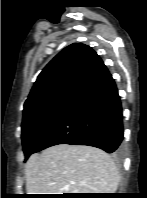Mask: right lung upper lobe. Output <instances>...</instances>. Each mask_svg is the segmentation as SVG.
<instances>
[{
	"instance_id": "right-lung-upper-lobe-1",
	"label": "right lung upper lobe",
	"mask_w": 147,
	"mask_h": 198,
	"mask_svg": "<svg viewBox=\"0 0 147 198\" xmlns=\"http://www.w3.org/2000/svg\"><path fill=\"white\" fill-rule=\"evenodd\" d=\"M108 74V69L94 50L81 43L71 44L39 74L23 113L53 102H76Z\"/></svg>"
}]
</instances>
